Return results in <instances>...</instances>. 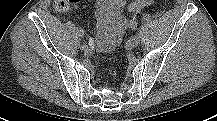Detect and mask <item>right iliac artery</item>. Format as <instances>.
I'll use <instances>...</instances> for the list:
<instances>
[{"instance_id": "1", "label": "right iliac artery", "mask_w": 217, "mask_h": 121, "mask_svg": "<svg viewBox=\"0 0 217 121\" xmlns=\"http://www.w3.org/2000/svg\"><path fill=\"white\" fill-rule=\"evenodd\" d=\"M76 33L79 37H81L82 39L84 38V31L80 28H77Z\"/></svg>"}]
</instances>
